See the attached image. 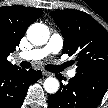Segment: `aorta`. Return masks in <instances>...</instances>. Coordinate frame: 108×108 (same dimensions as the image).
<instances>
[{
	"label": "aorta",
	"instance_id": "aorta-1",
	"mask_svg": "<svg viewBox=\"0 0 108 108\" xmlns=\"http://www.w3.org/2000/svg\"><path fill=\"white\" fill-rule=\"evenodd\" d=\"M50 36L48 27L42 23H34L27 30L28 40L36 46L47 43ZM59 81L54 77H49L44 81V89L50 94H54L59 89Z\"/></svg>",
	"mask_w": 108,
	"mask_h": 108
}]
</instances>
